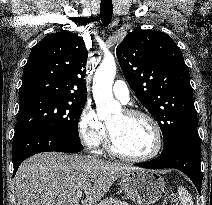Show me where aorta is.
I'll return each instance as SVG.
<instances>
[{
    "mask_svg": "<svg viewBox=\"0 0 212 205\" xmlns=\"http://www.w3.org/2000/svg\"><path fill=\"white\" fill-rule=\"evenodd\" d=\"M116 75V63L113 56L103 59L93 78V98L97 106L99 118L109 116L121 107L114 101L112 84Z\"/></svg>",
    "mask_w": 212,
    "mask_h": 205,
    "instance_id": "obj_1",
    "label": "aorta"
}]
</instances>
